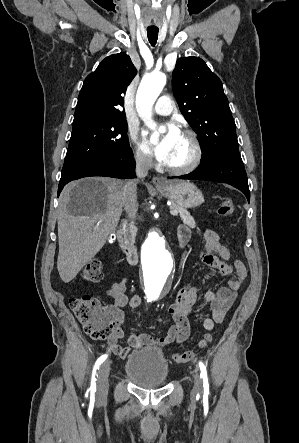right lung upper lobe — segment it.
<instances>
[{
    "mask_svg": "<svg viewBox=\"0 0 299 443\" xmlns=\"http://www.w3.org/2000/svg\"><path fill=\"white\" fill-rule=\"evenodd\" d=\"M136 73L128 55L119 53L106 57L83 83L73 124L87 120L125 118L122 94Z\"/></svg>",
    "mask_w": 299,
    "mask_h": 443,
    "instance_id": "cb5924a9",
    "label": "right lung upper lobe"
}]
</instances>
